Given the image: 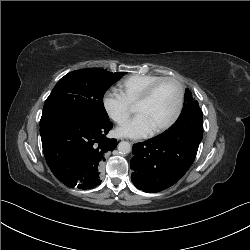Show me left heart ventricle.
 Masks as SVG:
<instances>
[{
  "instance_id": "b2bd125f",
  "label": "left heart ventricle",
  "mask_w": 250,
  "mask_h": 250,
  "mask_svg": "<svg viewBox=\"0 0 250 250\" xmlns=\"http://www.w3.org/2000/svg\"><path fill=\"white\" fill-rule=\"evenodd\" d=\"M178 99V87L173 82L161 84L151 99L135 107L137 114L143 115L152 130L167 123L173 116Z\"/></svg>"
}]
</instances>
